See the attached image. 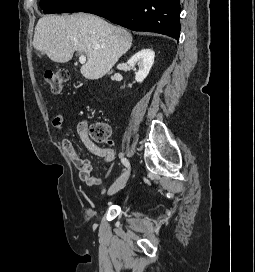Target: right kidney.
<instances>
[{"instance_id":"1","label":"right kidney","mask_w":255,"mask_h":272,"mask_svg":"<svg viewBox=\"0 0 255 272\" xmlns=\"http://www.w3.org/2000/svg\"><path fill=\"white\" fill-rule=\"evenodd\" d=\"M154 57L155 53L153 50L142 49L127 61V64L131 67L138 65V70L135 73V80L138 83H142L148 76L149 71L154 63Z\"/></svg>"}]
</instances>
